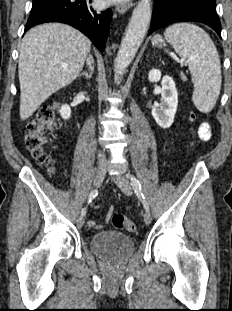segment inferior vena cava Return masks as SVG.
<instances>
[{
  "label": "inferior vena cava",
  "mask_w": 232,
  "mask_h": 311,
  "mask_svg": "<svg viewBox=\"0 0 232 311\" xmlns=\"http://www.w3.org/2000/svg\"><path fill=\"white\" fill-rule=\"evenodd\" d=\"M93 63V59H92V57L90 56L88 59H87V64H88V66H89V68H91V64ZM97 158H98V163H99V165H101V166H104V165H106V158H105V155L103 154V153H101V152H99L98 153V155H97Z\"/></svg>",
  "instance_id": "obj_1"
}]
</instances>
